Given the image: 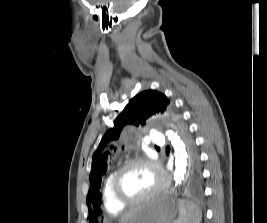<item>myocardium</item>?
<instances>
[{"label": "myocardium", "mask_w": 267, "mask_h": 223, "mask_svg": "<svg viewBox=\"0 0 267 223\" xmlns=\"http://www.w3.org/2000/svg\"><path fill=\"white\" fill-rule=\"evenodd\" d=\"M139 164L147 165L153 169L154 173L157 176V184L149 193L138 199H133V200L126 199L119 192L120 178L128 168ZM164 187H165V174L163 170L154 159L147 156L135 157L133 159L128 160L115 172L111 180L112 195L114 199L123 206H136L145 203L156 197L164 189Z\"/></svg>", "instance_id": "obj_1"}]
</instances>
